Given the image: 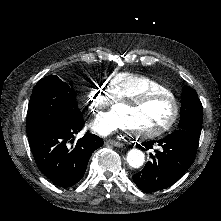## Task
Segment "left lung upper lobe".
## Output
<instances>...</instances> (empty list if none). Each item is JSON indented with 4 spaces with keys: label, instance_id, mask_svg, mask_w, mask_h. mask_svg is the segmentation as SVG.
I'll use <instances>...</instances> for the list:
<instances>
[{
    "label": "left lung upper lobe",
    "instance_id": "1",
    "mask_svg": "<svg viewBox=\"0 0 221 221\" xmlns=\"http://www.w3.org/2000/svg\"><path fill=\"white\" fill-rule=\"evenodd\" d=\"M203 118V108L194 89L185 86L181 96V112L179 129L200 136Z\"/></svg>",
    "mask_w": 221,
    "mask_h": 221
}]
</instances>
